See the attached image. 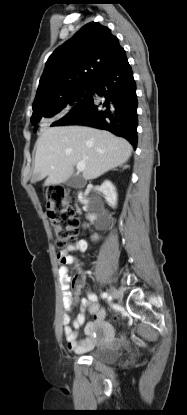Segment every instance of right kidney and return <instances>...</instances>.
<instances>
[{
	"instance_id": "1",
	"label": "right kidney",
	"mask_w": 187,
	"mask_h": 415,
	"mask_svg": "<svg viewBox=\"0 0 187 415\" xmlns=\"http://www.w3.org/2000/svg\"><path fill=\"white\" fill-rule=\"evenodd\" d=\"M100 190L103 193L108 205L115 208L117 205V193L114 185L109 180H106L101 185ZM97 238V236H94V239Z\"/></svg>"
}]
</instances>
